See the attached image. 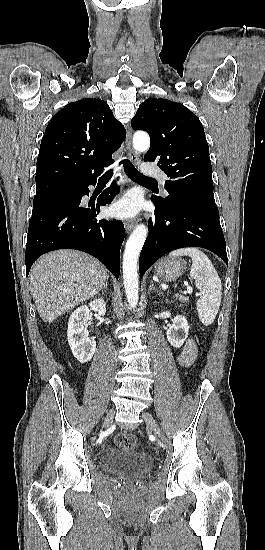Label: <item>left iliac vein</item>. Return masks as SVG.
Returning <instances> with one entry per match:
<instances>
[{"instance_id":"4c4485c4","label":"left iliac vein","mask_w":265,"mask_h":550,"mask_svg":"<svg viewBox=\"0 0 265 550\" xmlns=\"http://www.w3.org/2000/svg\"><path fill=\"white\" fill-rule=\"evenodd\" d=\"M142 416L144 418V420L146 421L147 425L150 427V429L152 430V432L157 435V436H160L161 433H160V430L158 428V425L157 423L155 422V420L153 419L152 415L147 413V412H143L142 413Z\"/></svg>"}]
</instances>
